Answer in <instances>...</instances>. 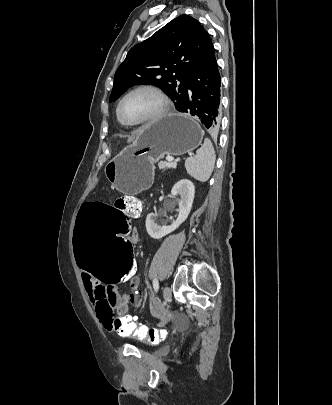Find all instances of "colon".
I'll list each match as a JSON object with an SVG mask.
<instances>
[{
  "label": "colon",
  "instance_id": "5ec220e1",
  "mask_svg": "<svg viewBox=\"0 0 332 405\" xmlns=\"http://www.w3.org/2000/svg\"><path fill=\"white\" fill-rule=\"evenodd\" d=\"M142 210L141 200L125 195L111 202H82L77 211V220H72L73 248L78 267L83 275H95L96 281H104L105 287H122L123 281H134L137 266L133 259L132 227H129L127 212L138 215ZM113 326L123 342H135L136 346L156 344L165 338L166 325H148L139 322L131 311L115 316Z\"/></svg>",
  "mask_w": 332,
  "mask_h": 405
}]
</instances>
